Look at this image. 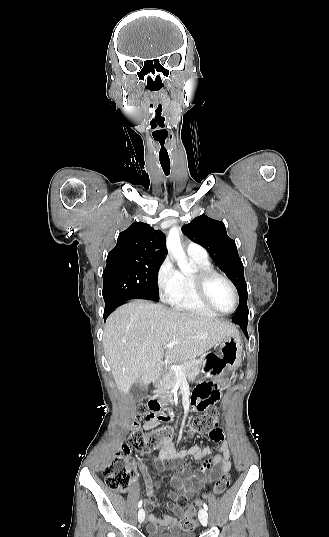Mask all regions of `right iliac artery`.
I'll return each mask as SVG.
<instances>
[{"label": "right iliac artery", "mask_w": 329, "mask_h": 537, "mask_svg": "<svg viewBox=\"0 0 329 537\" xmlns=\"http://www.w3.org/2000/svg\"><path fill=\"white\" fill-rule=\"evenodd\" d=\"M142 504H143V501H142V499H141V500L139 501V503H138V508H140V507L142 506Z\"/></svg>", "instance_id": "82829eb1"}]
</instances>
